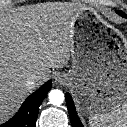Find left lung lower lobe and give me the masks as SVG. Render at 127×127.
<instances>
[{
  "label": "left lung lower lobe",
  "mask_w": 127,
  "mask_h": 127,
  "mask_svg": "<svg viewBox=\"0 0 127 127\" xmlns=\"http://www.w3.org/2000/svg\"><path fill=\"white\" fill-rule=\"evenodd\" d=\"M66 104L69 111L72 127H83L75 109L74 102L69 93H66Z\"/></svg>",
  "instance_id": "0a47b994"
}]
</instances>
